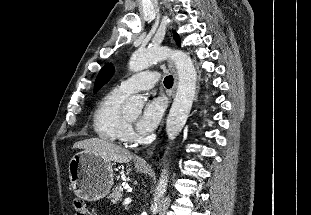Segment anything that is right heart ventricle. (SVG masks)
I'll list each match as a JSON object with an SVG mask.
<instances>
[{"label":"right heart ventricle","mask_w":311,"mask_h":215,"mask_svg":"<svg viewBox=\"0 0 311 215\" xmlns=\"http://www.w3.org/2000/svg\"><path fill=\"white\" fill-rule=\"evenodd\" d=\"M126 96L127 94L114 88L98 103L93 115V127L101 139L114 143H121L126 139L127 121L121 112Z\"/></svg>","instance_id":"right-heart-ventricle-1"}]
</instances>
